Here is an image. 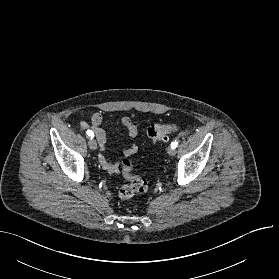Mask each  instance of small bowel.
<instances>
[{
    "label": "small bowel",
    "instance_id": "small-bowel-1",
    "mask_svg": "<svg viewBox=\"0 0 279 279\" xmlns=\"http://www.w3.org/2000/svg\"><path fill=\"white\" fill-rule=\"evenodd\" d=\"M103 122V116L101 113L96 112L92 115L90 124L87 122H81L80 126L82 129L90 128L91 131L95 134V137L100 146L101 153L99 154V163L102 168L110 174H116L120 170V165L118 162H111L105 155L104 152L107 149V136L105 131L102 129L101 125ZM121 124L126 130V133L129 137L134 138L138 134V122L132 120L130 117H122ZM138 150V147L135 144L130 145L123 150V156L129 157L135 154Z\"/></svg>",
    "mask_w": 279,
    "mask_h": 279
}]
</instances>
